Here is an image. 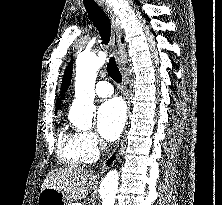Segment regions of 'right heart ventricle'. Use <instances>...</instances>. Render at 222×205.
<instances>
[{
  "instance_id": "obj_1",
  "label": "right heart ventricle",
  "mask_w": 222,
  "mask_h": 205,
  "mask_svg": "<svg viewBox=\"0 0 222 205\" xmlns=\"http://www.w3.org/2000/svg\"><path fill=\"white\" fill-rule=\"evenodd\" d=\"M57 155L59 160L67 166L77 167L89 160L84 154L78 133L60 130L57 140Z\"/></svg>"
}]
</instances>
